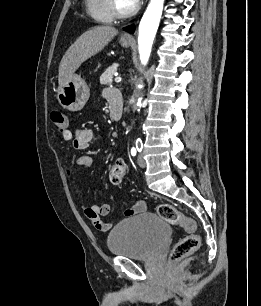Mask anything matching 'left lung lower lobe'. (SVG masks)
<instances>
[{
    "label": "left lung lower lobe",
    "mask_w": 261,
    "mask_h": 306,
    "mask_svg": "<svg viewBox=\"0 0 261 306\" xmlns=\"http://www.w3.org/2000/svg\"><path fill=\"white\" fill-rule=\"evenodd\" d=\"M134 25H131V26H128V27H125L124 30L127 31V32H130V33H133L134 32Z\"/></svg>",
    "instance_id": "left-lung-lower-lobe-1"
}]
</instances>
